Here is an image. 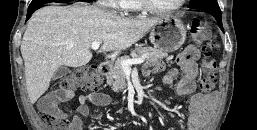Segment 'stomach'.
<instances>
[{
	"mask_svg": "<svg viewBox=\"0 0 257 130\" xmlns=\"http://www.w3.org/2000/svg\"><path fill=\"white\" fill-rule=\"evenodd\" d=\"M149 39L156 48L174 52L185 42L186 28L178 17L165 16L151 27Z\"/></svg>",
	"mask_w": 257,
	"mask_h": 130,
	"instance_id": "1",
	"label": "stomach"
}]
</instances>
